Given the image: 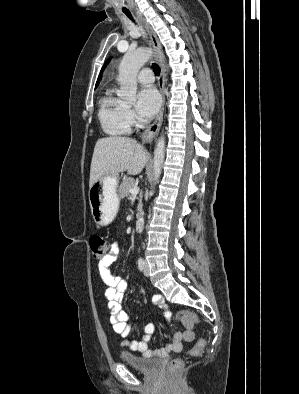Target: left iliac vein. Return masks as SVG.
Wrapping results in <instances>:
<instances>
[{
  "label": "left iliac vein",
  "instance_id": "left-iliac-vein-1",
  "mask_svg": "<svg viewBox=\"0 0 299 394\" xmlns=\"http://www.w3.org/2000/svg\"><path fill=\"white\" fill-rule=\"evenodd\" d=\"M144 275L145 276L149 275V266H148L147 262H145V265H144Z\"/></svg>",
  "mask_w": 299,
  "mask_h": 394
}]
</instances>
